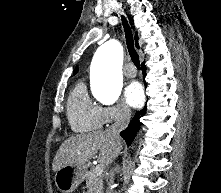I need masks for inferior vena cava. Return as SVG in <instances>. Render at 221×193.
<instances>
[{
	"label": "inferior vena cava",
	"mask_w": 221,
	"mask_h": 193,
	"mask_svg": "<svg viewBox=\"0 0 221 193\" xmlns=\"http://www.w3.org/2000/svg\"><path fill=\"white\" fill-rule=\"evenodd\" d=\"M130 118H131L130 109L127 107H121L118 111L115 123L112 124V126L109 128V131L113 134V136L116 139L120 138V132L128 126ZM113 176L114 174L112 173L110 185L113 184ZM107 193H114V191L113 189L109 188Z\"/></svg>",
	"instance_id": "obj_1"
}]
</instances>
